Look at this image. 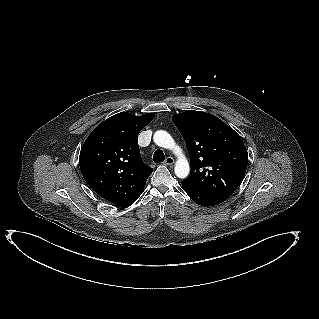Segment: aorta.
<instances>
[{
	"label": "aorta",
	"mask_w": 319,
	"mask_h": 319,
	"mask_svg": "<svg viewBox=\"0 0 319 319\" xmlns=\"http://www.w3.org/2000/svg\"><path fill=\"white\" fill-rule=\"evenodd\" d=\"M153 140L156 145L172 150L178 156L174 168L175 175L181 179L187 178L190 173L189 162L183 155L182 149L174 142L172 136L164 130H158L154 133Z\"/></svg>",
	"instance_id": "aorta-1"
}]
</instances>
